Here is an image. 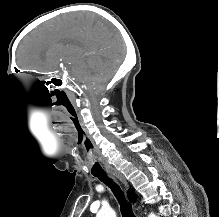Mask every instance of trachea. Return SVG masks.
I'll return each mask as SVG.
<instances>
[{"label":"trachea","instance_id":"obj_1","mask_svg":"<svg viewBox=\"0 0 219 217\" xmlns=\"http://www.w3.org/2000/svg\"><path fill=\"white\" fill-rule=\"evenodd\" d=\"M92 174L97 177L101 182L106 184L113 194L115 195L116 199L120 204V210L123 217H135L131 205L127 202L123 190L121 187L109 176H107L105 171L99 172H92Z\"/></svg>","mask_w":219,"mask_h":217}]
</instances>
